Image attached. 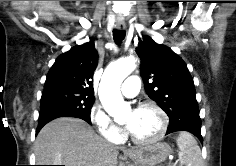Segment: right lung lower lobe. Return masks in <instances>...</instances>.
<instances>
[{
	"mask_svg": "<svg viewBox=\"0 0 236 166\" xmlns=\"http://www.w3.org/2000/svg\"><path fill=\"white\" fill-rule=\"evenodd\" d=\"M67 117L80 118V119L85 120V121L88 122L89 124H91V121H90V120H87L86 118H84V117L81 116V115L70 114V115H67ZM49 121H51V120L44 121V122H39L38 127H37V131H36V135H37L38 132L41 130V128H42L45 124H47Z\"/></svg>",
	"mask_w": 236,
	"mask_h": 166,
	"instance_id": "obj_1",
	"label": "right lung lower lobe"
}]
</instances>
